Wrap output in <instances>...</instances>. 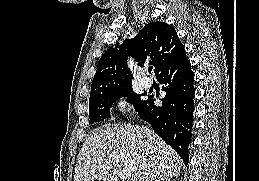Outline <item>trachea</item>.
<instances>
[{
	"mask_svg": "<svg viewBox=\"0 0 259 181\" xmlns=\"http://www.w3.org/2000/svg\"><path fill=\"white\" fill-rule=\"evenodd\" d=\"M152 69H153V67L150 66V67L148 68V72L151 73Z\"/></svg>",
	"mask_w": 259,
	"mask_h": 181,
	"instance_id": "obj_1",
	"label": "trachea"
}]
</instances>
